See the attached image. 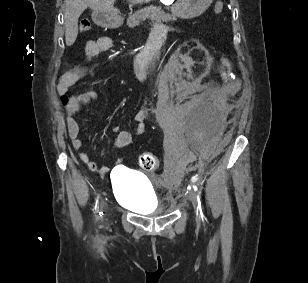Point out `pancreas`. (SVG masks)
Masks as SVG:
<instances>
[{"instance_id": "1", "label": "pancreas", "mask_w": 308, "mask_h": 283, "mask_svg": "<svg viewBox=\"0 0 308 283\" xmlns=\"http://www.w3.org/2000/svg\"><path fill=\"white\" fill-rule=\"evenodd\" d=\"M146 19L169 22V21H175L176 17L175 15H170L164 12L159 7L149 6L130 14L127 19V25L129 27H135L139 25L141 20H146Z\"/></svg>"}]
</instances>
